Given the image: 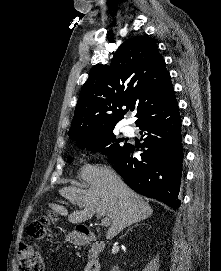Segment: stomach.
<instances>
[{"label": "stomach", "instance_id": "stomach-1", "mask_svg": "<svg viewBox=\"0 0 221 271\" xmlns=\"http://www.w3.org/2000/svg\"><path fill=\"white\" fill-rule=\"evenodd\" d=\"M66 237L67 238H80L81 234L80 233H67Z\"/></svg>", "mask_w": 221, "mask_h": 271}]
</instances>
